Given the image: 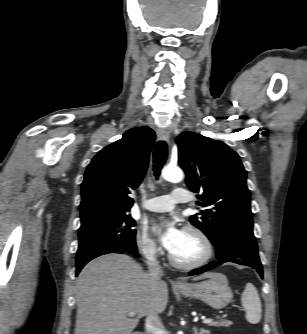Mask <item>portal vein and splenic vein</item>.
<instances>
[{
    "label": "portal vein and splenic vein",
    "instance_id": "portal-vein-and-splenic-vein-1",
    "mask_svg": "<svg viewBox=\"0 0 307 334\" xmlns=\"http://www.w3.org/2000/svg\"><path fill=\"white\" fill-rule=\"evenodd\" d=\"M128 315H129V316H134L135 313H134V312H130ZM212 322H213V319H212V318H208V319H204V320H203V323H204V324H208V323H212Z\"/></svg>",
    "mask_w": 307,
    "mask_h": 334
}]
</instances>
